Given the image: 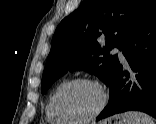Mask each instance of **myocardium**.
Wrapping results in <instances>:
<instances>
[{
    "mask_svg": "<svg viewBox=\"0 0 156 124\" xmlns=\"http://www.w3.org/2000/svg\"><path fill=\"white\" fill-rule=\"evenodd\" d=\"M79 84H89L95 86L100 94H101V103L98 108L89 116L84 118H75L66 113H64L60 107V98L62 94L70 87L79 85ZM109 101V94L105 86L97 79L89 78V77H80L68 80L65 82L56 92L54 99H53V109L55 113L62 118L63 120L74 123V124H82L88 123L95 120L99 115L105 110L108 105Z\"/></svg>",
    "mask_w": 156,
    "mask_h": 124,
    "instance_id": "myocardium-1",
    "label": "myocardium"
}]
</instances>
